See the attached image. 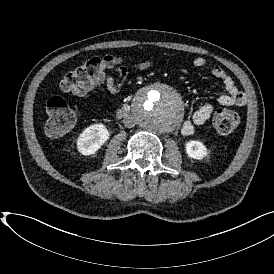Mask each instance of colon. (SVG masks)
<instances>
[{
  "label": "colon",
  "mask_w": 274,
  "mask_h": 274,
  "mask_svg": "<svg viewBox=\"0 0 274 274\" xmlns=\"http://www.w3.org/2000/svg\"><path fill=\"white\" fill-rule=\"evenodd\" d=\"M122 71L119 58L110 55L92 57L66 72L60 81V87L65 95L89 81L98 74L107 72L113 74ZM49 118L46 123V135L49 138H59L67 133L76 122V113L72 110L64 96L54 95L47 100ZM239 124L238 114L227 109L217 110L212 118L214 131L221 136L233 133Z\"/></svg>",
  "instance_id": "5ec220e1"
}]
</instances>
